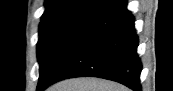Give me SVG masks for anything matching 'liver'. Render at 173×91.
I'll list each match as a JSON object with an SVG mask.
<instances>
[{
	"label": "liver",
	"mask_w": 173,
	"mask_h": 91,
	"mask_svg": "<svg viewBox=\"0 0 173 91\" xmlns=\"http://www.w3.org/2000/svg\"><path fill=\"white\" fill-rule=\"evenodd\" d=\"M47 91H129L125 86L94 77L67 79L58 82Z\"/></svg>",
	"instance_id": "6515ba94"
}]
</instances>
